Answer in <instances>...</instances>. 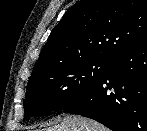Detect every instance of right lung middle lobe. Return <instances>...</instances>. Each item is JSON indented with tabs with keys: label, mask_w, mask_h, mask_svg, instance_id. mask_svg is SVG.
<instances>
[{
	"label": "right lung middle lobe",
	"mask_w": 147,
	"mask_h": 131,
	"mask_svg": "<svg viewBox=\"0 0 147 131\" xmlns=\"http://www.w3.org/2000/svg\"><path fill=\"white\" fill-rule=\"evenodd\" d=\"M112 62L100 58L80 60L32 76L24 100V118L72 105L103 79Z\"/></svg>",
	"instance_id": "obj_1"
}]
</instances>
